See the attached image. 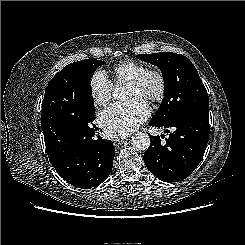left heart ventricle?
<instances>
[{
    "instance_id": "left-heart-ventricle-1",
    "label": "left heart ventricle",
    "mask_w": 245,
    "mask_h": 245,
    "mask_svg": "<svg viewBox=\"0 0 245 245\" xmlns=\"http://www.w3.org/2000/svg\"><path fill=\"white\" fill-rule=\"evenodd\" d=\"M156 87H157V83L154 79H150L147 85L143 89H137L132 86H127L126 97L128 99L134 97L145 99V96L148 93L154 92L156 90Z\"/></svg>"
}]
</instances>
